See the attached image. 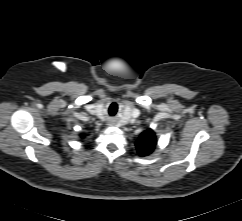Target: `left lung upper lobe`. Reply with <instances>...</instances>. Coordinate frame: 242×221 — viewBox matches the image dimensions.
<instances>
[{"label": "left lung upper lobe", "mask_w": 242, "mask_h": 221, "mask_svg": "<svg viewBox=\"0 0 242 221\" xmlns=\"http://www.w3.org/2000/svg\"><path fill=\"white\" fill-rule=\"evenodd\" d=\"M138 154L140 156H147L153 152L156 146L155 133L148 129L144 131L135 143Z\"/></svg>", "instance_id": "1"}]
</instances>
